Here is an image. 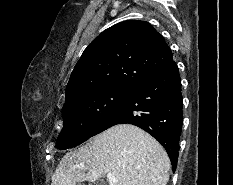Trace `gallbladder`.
<instances>
[{"instance_id":"bac80fb5","label":"gallbladder","mask_w":233,"mask_h":185,"mask_svg":"<svg viewBox=\"0 0 233 185\" xmlns=\"http://www.w3.org/2000/svg\"><path fill=\"white\" fill-rule=\"evenodd\" d=\"M93 185H104V184L100 181H96Z\"/></svg>"}]
</instances>
